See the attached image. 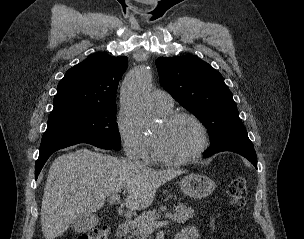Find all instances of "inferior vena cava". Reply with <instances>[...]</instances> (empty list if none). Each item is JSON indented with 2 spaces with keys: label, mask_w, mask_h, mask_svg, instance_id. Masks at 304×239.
<instances>
[{
  "label": "inferior vena cava",
  "mask_w": 304,
  "mask_h": 239,
  "mask_svg": "<svg viewBox=\"0 0 304 239\" xmlns=\"http://www.w3.org/2000/svg\"><path fill=\"white\" fill-rule=\"evenodd\" d=\"M128 160L133 164V166H142V164L138 160V157L133 154L128 155Z\"/></svg>",
  "instance_id": "1"
}]
</instances>
